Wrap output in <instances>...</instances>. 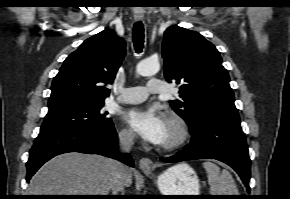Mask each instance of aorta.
I'll use <instances>...</instances> for the list:
<instances>
[{
  "instance_id": "obj_1",
  "label": "aorta",
  "mask_w": 290,
  "mask_h": 199,
  "mask_svg": "<svg viewBox=\"0 0 290 199\" xmlns=\"http://www.w3.org/2000/svg\"><path fill=\"white\" fill-rule=\"evenodd\" d=\"M160 70V63L156 59H146L141 61L137 67L136 72L141 76H153Z\"/></svg>"
}]
</instances>
